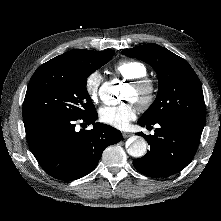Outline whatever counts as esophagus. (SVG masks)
Instances as JSON below:
<instances>
[{"label":"esophagus","mask_w":221,"mask_h":221,"mask_svg":"<svg viewBox=\"0 0 221 221\" xmlns=\"http://www.w3.org/2000/svg\"><path fill=\"white\" fill-rule=\"evenodd\" d=\"M122 135H123L124 138H128V137H130L132 134L129 133V132H123Z\"/></svg>","instance_id":"1"}]
</instances>
